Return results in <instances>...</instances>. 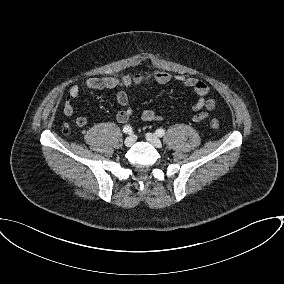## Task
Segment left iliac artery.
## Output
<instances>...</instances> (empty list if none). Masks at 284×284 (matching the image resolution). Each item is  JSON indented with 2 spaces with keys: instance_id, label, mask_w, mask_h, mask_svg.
<instances>
[{
  "instance_id": "1",
  "label": "left iliac artery",
  "mask_w": 284,
  "mask_h": 284,
  "mask_svg": "<svg viewBox=\"0 0 284 284\" xmlns=\"http://www.w3.org/2000/svg\"><path fill=\"white\" fill-rule=\"evenodd\" d=\"M155 134L159 137H162L164 134H165V130L160 128V129H157Z\"/></svg>"
}]
</instances>
